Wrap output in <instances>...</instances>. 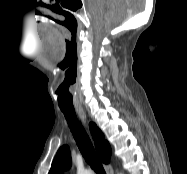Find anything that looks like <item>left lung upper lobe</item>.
Segmentation results:
<instances>
[{
    "mask_svg": "<svg viewBox=\"0 0 187 174\" xmlns=\"http://www.w3.org/2000/svg\"><path fill=\"white\" fill-rule=\"evenodd\" d=\"M71 166V155L68 146L61 147L52 163L49 174H62Z\"/></svg>",
    "mask_w": 187,
    "mask_h": 174,
    "instance_id": "left-lung-upper-lobe-1",
    "label": "left lung upper lobe"
}]
</instances>
